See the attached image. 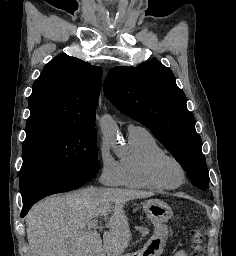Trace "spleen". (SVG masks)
Listing matches in <instances>:
<instances>
[{"label": "spleen", "instance_id": "spleen-1", "mask_svg": "<svg viewBox=\"0 0 236 256\" xmlns=\"http://www.w3.org/2000/svg\"><path fill=\"white\" fill-rule=\"evenodd\" d=\"M176 256H185V254H181V252H179V254H176Z\"/></svg>", "mask_w": 236, "mask_h": 256}]
</instances>
